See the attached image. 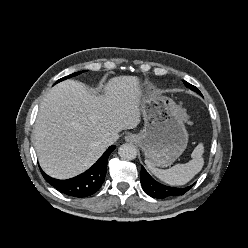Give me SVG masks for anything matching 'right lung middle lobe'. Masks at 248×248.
Here are the masks:
<instances>
[{
    "label": "right lung middle lobe",
    "instance_id": "1",
    "mask_svg": "<svg viewBox=\"0 0 248 248\" xmlns=\"http://www.w3.org/2000/svg\"><path fill=\"white\" fill-rule=\"evenodd\" d=\"M81 73H82V72L73 73V74H71V75H68V76H66V77H63V78L59 79L56 83H58V82H60V81H63V80H65V79H67V78L76 76V75L81 74Z\"/></svg>",
    "mask_w": 248,
    "mask_h": 248
}]
</instances>
